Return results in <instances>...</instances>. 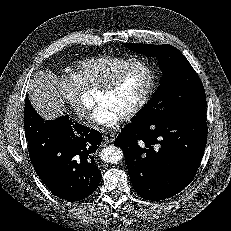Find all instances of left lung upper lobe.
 <instances>
[{"mask_svg":"<svg viewBox=\"0 0 231 231\" xmlns=\"http://www.w3.org/2000/svg\"><path fill=\"white\" fill-rule=\"evenodd\" d=\"M124 46L136 53L156 57L164 74L155 96L132 122L158 123L206 109L202 82L177 48L169 44L125 43Z\"/></svg>","mask_w":231,"mask_h":231,"instance_id":"1","label":"left lung upper lobe"}]
</instances>
